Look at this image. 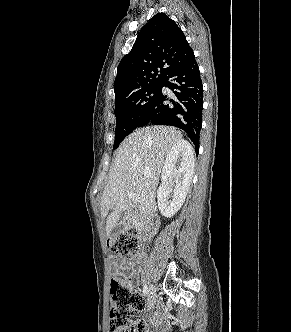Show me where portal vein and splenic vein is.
<instances>
[{
  "label": "portal vein and splenic vein",
  "mask_w": 291,
  "mask_h": 332,
  "mask_svg": "<svg viewBox=\"0 0 291 332\" xmlns=\"http://www.w3.org/2000/svg\"><path fill=\"white\" fill-rule=\"evenodd\" d=\"M128 197L132 200L133 203L138 204L141 202L140 195L128 193Z\"/></svg>",
  "instance_id": "obj_1"
}]
</instances>
